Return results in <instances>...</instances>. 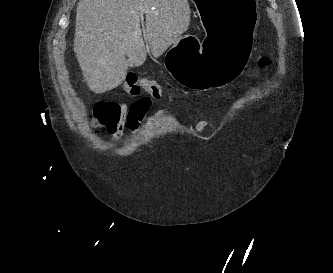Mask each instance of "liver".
Listing matches in <instances>:
<instances>
[{
    "label": "liver",
    "instance_id": "obj_1",
    "mask_svg": "<svg viewBox=\"0 0 333 273\" xmlns=\"http://www.w3.org/2000/svg\"><path fill=\"white\" fill-rule=\"evenodd\" d=\"M141 10H145L150 51L158 58L188 29V0L78 2L74 52L92 92L104 93L118 87L126 78L128 62L137 67L145 62Z\"/></svg>",
    "mask_w": 333,
    "mask_h": 273
}]
</instances>
